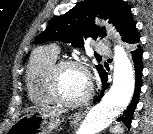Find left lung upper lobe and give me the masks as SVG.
Segmentation results:
<instances>
[{"label":"left lung upper lobe","mask_w":153,"mask_h":134,"mask_svg":"<svg viewBox=\"0 0 153 134\" xmlns=\"http://www.w3.org/2000/svg\"><path fill=\"white\" fill-rule=\"evenodd\" d=\"M109 19L122 35V40L129 44L140 41L130 7L121 0H84L61 16L51 19L46 30L34 41L39 44L47 41H64L75 47H83L84 41L105 36L104 28L93 25L95 16ZM99 74L102 65L96 66Z\"/></svg>","instance_id":"1"}]
</instances>
